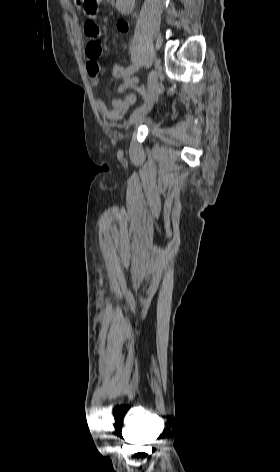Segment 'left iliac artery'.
<instances>
[{"mask_svg":"<svg viewBox=\"0 0 280 472\" xmlns=\"http://www.w3.org/2000/svg\"><path fill=\"white\" fill-rule=\"evenodd\" d=\"M138 69H139V65H130V66H128L124 71L123 79H124V82H125V84L127 85L128 88H132V89L138 91L141 94V96L143 97V99H145V97H146L145 89L144 88H139L136 85L135 78L132 77V75L136 71H138Z\"/></svg>","mask_w":280,"mask_h":472,"instance_id":"obj_1","label":"left iliac artery"}]
</instances>
